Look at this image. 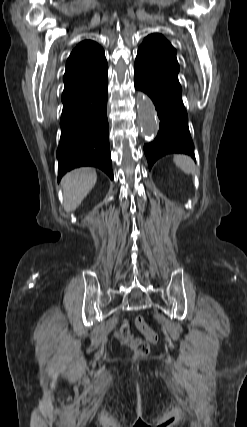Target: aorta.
Here are the masks:
<instances>
[{
    "instance_id": "aorta-1",
    "label": "aorta",
    "mask_w": 247,
    "mask_h": 427,
    "mask_svg": "<svg viewBox=\"0 0 247 427\" xmlns=\"http://www.w3.org/2000/svg\"><path fill=\"white\" fill-rule=\"evenodd\" d=\"M136 106L141 133L146 140H153L159 129V122L151 99L142 92L136 95Z\"/></svg>"
}]
</instances>
